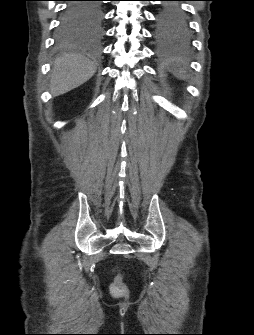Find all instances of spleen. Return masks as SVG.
Instances as JSON below:
<instances>
[{
    "mask_svg": "<svg viewBox=\"0 0 254 335\" xmlns=\"http://www.w3.org/2000/svg\"><path fill=\"white\" fill-rule=\"evenodd\" d=\"M165 66L169 71H172L175 76H177L180 79L185 78L186 71L182 68L178 67L177 62L174 59H170L165 63Z\"/></svg>",
    "mask_w": 254,
    "mask_h": 335,
    "instance_id": "3e777b00",
    "label": "spleen"
}]
</instances>
